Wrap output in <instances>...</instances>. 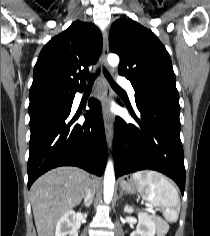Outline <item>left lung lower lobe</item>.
I'll return each instance as SVG.
<instances>
[{
  "mask_svg": "<svg viewBox=\"0 0 210 236\" xmlns=\"http://www.w3.org/2000/svg\"><path fill=\"white\" fill-rule=\"evenodd\" d=\"M140 112L138 125L116 117L114 161L116 178L143 169H152L172 178L181 193L185 188V167L180 140L179 101L145 97L135 99ZM120 106L123 104L118 101Z\"/></svg>",
  "mask_w": 210,
  "mask_h": 236,
  "instance_id": "1",
  "label": "left lung lower lobe"
}]
</instances>
